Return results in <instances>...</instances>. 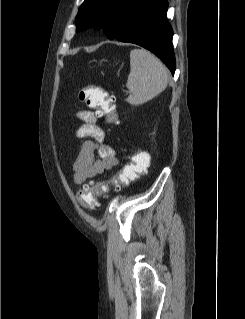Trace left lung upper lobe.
<instances>
[{"instance_id": "5c2ea615", "label": "left lung upper lobe", "mask_w": 245, "mask_h": 319, "mask_svg": "<svg viewBox=\"0 0 245 319\" xmlns=\"http://www.w3.org/2000/svg\"><path fill=\"white\" fill-rule=\"evenodd\" d=\"M146 0H85L76 18V32L89 27L102 28L114 39L130 14Z\"/></svg>"}]
</instances>
